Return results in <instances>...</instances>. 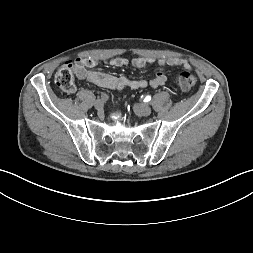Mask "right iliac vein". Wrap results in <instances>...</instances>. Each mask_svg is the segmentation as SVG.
<instances>
[{
	"instance_id": "1",
	"label": "right iliac vein",
	"mask_w": 253,
	"mask_h": 253,
	"mask_svg": "<svg viewBox=\"0 0 253 253\" xmlns=\"http://www.w3.org/2000/svg\"><path fill=\"white\" fill-rule=\"evenodd\" d=\"M94 107H95L96 110L102 111L103 107H104V102L102 100L98 99V100L95 101Z\"/></svg>"
}]
</instances>
